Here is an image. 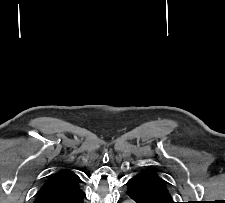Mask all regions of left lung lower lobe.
Instances as JSON below:
<instances>
[{"label": "left lung lower lobe", "mask_w": 225, "mask_h": 203, "mask_svg": "<svg viewBox=\"0 0 225 203\" xmlns=\"http://www.w3.org/2000/svg\"><path fill=\"white\" fill-rule=\"evenodd\" d=\"M126 194L136 203H160L156 199L150 197L144 189L134 179L126 182Z\"/></svg>", "instance_id": "obj_1"}]
</instances>
